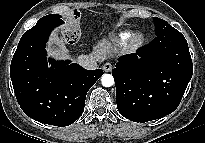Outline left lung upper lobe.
I'll list each match as a JSON object with an SVG mask.
<instances>
[{
	"mask_svg": "<svg viewBox=\"0 0 205 143\" xmlns=\"http://www.w3.org/2000/svg\"><path fill=\"white\" fill-rule=\"evenodd\" d=\"M154 24H155V34L160 35V34H166L169 32H173L176 29L173 28L170 24H168L165 20L154 17Z\"/></svg>",
	"mask_w": 205,
	"mask_h": 143,
	"instance_id": "left-lung-upper-lobe-1",
	"label": "left lung upper lobe"
}]
</instances>
